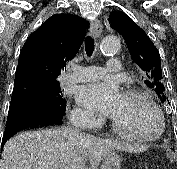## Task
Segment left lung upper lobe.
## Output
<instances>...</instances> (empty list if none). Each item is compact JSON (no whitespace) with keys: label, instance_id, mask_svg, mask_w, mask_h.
Masks as SVG:
<instances>
[{"label":"left lung upper lobe","instance_id":"obj_1","mask_svg":"<svg viewBox=\"0 0 177 169\" xmlns=\"http://www.w3.org/2000/svg\"><path fill=\"white\" fill-rule=\"evenodd\" d=\"M110 21L126 41L132 60L138 65L145 84L156 92L162 103H169L163 84L160 55L153 42L124 12H111Z\"/></svg>","mask_w":177,"mask_h":169}]
</instances>
